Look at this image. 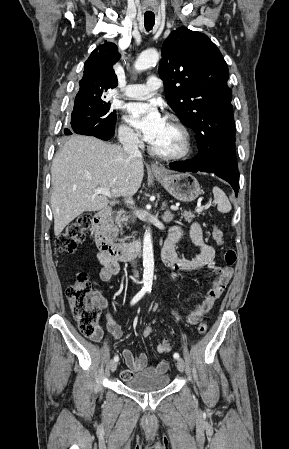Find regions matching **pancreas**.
<instances>
[{
	"mask_svg": "<svg viewBox=\"0 0 289 449\" xmlns=\"http://www.w3.org/2000/svg\"><path fill=\"white\" fill-rule=\"evenodd\" d=\"M181 218H183L187 222H191L195 215L190 211L181 212ZM128 216L124 214L123 211H119L115 216H111L108 218L105 226V232L110 236V238L114 241L123 242L124 238L119 239L118 235H122V227L127 224Z\"/></svg>",
	"mask_w": 289,
	"mask_h": 449,
	"instance_id": "obj_1",
	"label": "pancreas"
}]
</instances>
